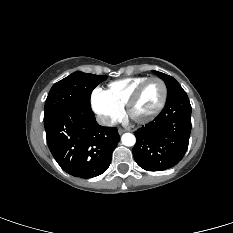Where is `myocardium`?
<instances>
[{"mask_svg": "<svg viewBox=\"0 0 233 233\" xmlns=\"http://www.w3.org/2000/svg\"><path fill=\"white\" fill-rule=\"evenodd\" d=\"M152 81H158L162 85L163 94H162L161 101H160L159 105L156 107V109L153 112H151L150 114H148L147 116L140 117V118L135 117L133 115V113H132L133 107H134L135 103L137 102V100H138L141 92L143 91L144 87L148 83H150ZM167 95H168V89H167V86H166V83L164 82V80H162L159 77H149L146 80H144L143 82H141L134 89V91L132 92V94L130 95V97H129L126 105H125V107H126V113L136 123H138V124H146V123L152 121L154 118H156L160 114V112L162 111V109L165 106V103H166V100H167Z\"/></svg>", "mask_w": 233, "mask_h": 233, "instance_id": "f54148a6", "label": "myocardium"}]
</instances>
